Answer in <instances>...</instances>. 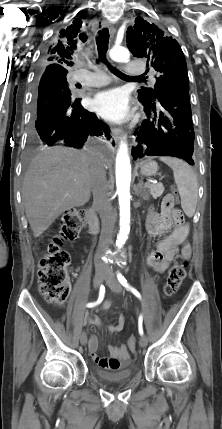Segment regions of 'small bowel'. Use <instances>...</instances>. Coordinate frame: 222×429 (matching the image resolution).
<instances>
[{"instance_id":"c3829d8e","label":"small bowel","mask_w":222,"mask_h":429,"mask_svg":"<svg viewBox=\"0 0 222 429\" xmlns=\"http://www.w3.org/2000/svg\"><path fill=\"white\" fill-rule=\"evenodd\" d=\"M146 227L152 237H163L146 256V264L155 272L163 273L167 270L172 260L179 253L188 259L191 255V246L187 242L189 235V225L185 222L181 210L174 208V205L166 206L162 204L161 211L150 209ZM181 247V249H180ZM110 301L103 305V310L110 308ZM88 323L101 327V320L97 316L89 317ZM125 325V316L121 314L116 324L109 326L110 333L121 332ZM99 347L98 338L91 335L88 342V349L93 361L101 368L108 370H118L129 364L131 354L125 346L109 345L107 347L109 357L100 356L97 353Z\"/></svg>"}]
</instances>
